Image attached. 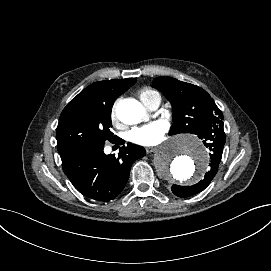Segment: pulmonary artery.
Listing matches in <instances>:
<instances>
[{
    "label": "pulmonary artery",
    "instance_id": "e3ab8cb5",
    "mask_svg": "<svg viewBox=\"0 0 271 271\" xmlns=\"http://www.w3.org/2000/svg\"><path fill=\"white\" fill-rule=\"evenodd\" d=\"M144 104L150 110H156L159 107V105H160V97H157V96L151 97V98L147 99L144 102ZM107 151H108V149H106V152Z\"/></svg>",
    "mask_w": 271,
    "mask_h": 271
}]
</instances>
